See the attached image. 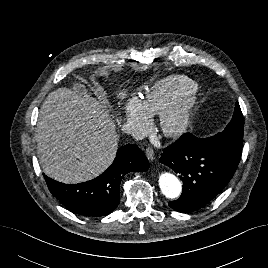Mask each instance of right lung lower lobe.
Segmentation results:
<instances>
[{
  "label": "right lung lower lobe",
  "mask_w": 268,
  "mask_h": 268,
  "mask_svg": "<svg viewBox=\"0 0 268 268\" xmlns=\"http://www.w3.org/2000/svg\"><path fill=\"white\" fill-rule=\"evenodd\" d=\"M149 163L137 145L118 149L112 165L97 178L74 185L57 182L46 175L50 192L70 211L83 216H105L119 204V186L131 171H146Z\"/></svg>",
  "instance_id": "obj_1"
}]
</instances>
